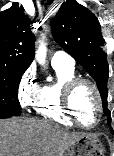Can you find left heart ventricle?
I'll return each instance as SVG.
<instances>
[{"label": "left heart ventricle", "instance_id": "1", "mask_svg": "<svg viewBox=\"0 0 114 156\" xmlns=\"http://www.w3.org/2000/svg\"><path fill=\"white\" fill-rule=\"evenodd\" d=\"M73 108L85 125H91L97 114V102L93 90L88 85L79 86L72 98Z\"/></svg>", "mask_w": 114, "mask_h": 156}]
</instances>
